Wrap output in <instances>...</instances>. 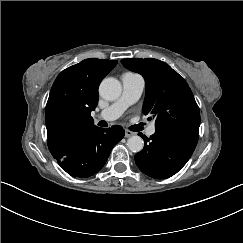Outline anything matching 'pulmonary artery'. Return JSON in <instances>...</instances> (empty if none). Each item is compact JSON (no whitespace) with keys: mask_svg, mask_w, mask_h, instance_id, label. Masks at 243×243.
Segmentation results:
<instances>
[{"mask_svg":"<svg viewBox=\"0 0 243 243\" xmlns=\"http://www.w3.org/2000/svg\"><path fill=\"white\" fill-rule=\"evenodd\" d=\"M121 82L122 94L120 98L111 106L95 115L94 118L96 120H103L107 122L114 121L124 112V110L129 105L136 103L140 99L145 87V81L142 77L140 79H135L122 76ZM155 132V123H151L148 126L146 133L148 136H153Z\"/></svg>","mask_w":243,"mask_h":243,"instance_id":"obj_1","label":"pulmonary artery"}]
</instances>
